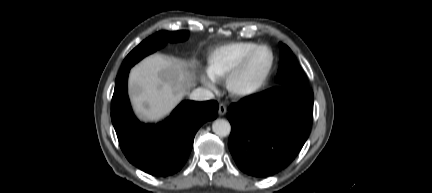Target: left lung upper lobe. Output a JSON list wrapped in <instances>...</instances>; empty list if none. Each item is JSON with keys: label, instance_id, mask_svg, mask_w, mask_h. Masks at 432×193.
Masks as SVG:
<instances>
[{"label": "left lung upper lobe", "instance_id": "obj_1", "mask_svg": "<svg viewBox=\"0 0 432 193\" xmlns=\"http://www.w3.org/2000/svg\"><path fill=\"white\" fill-rule=\"evenodd\" d=\"M280 65L277 72L279 86L309 87L306 76L292 51L280 43Z\"/></svg>", "mask_w": 432, "mask_h": 193}]
</instances>
